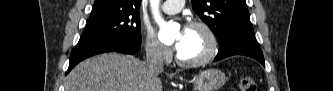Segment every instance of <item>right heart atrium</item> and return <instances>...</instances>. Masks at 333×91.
Listing matches in <instances>:
<instances>
[{
    "label": "right heart atrium",
    "instance_id": "d8ad5b80",
    "mask_svg": "<svg viewBox=\"0 0 333 91\" xmlns=\"http://www.w3.org/2000/svg\"><path fill=\"white\" fill-rule=\"evenodd\" d=\"M142 38L144 49L149 59L156 62H166L170 59V49L151 30L144 28Z\"/></svg>",
    "mask_w": 333,
    "mask_h": 91
}]
</instances>
